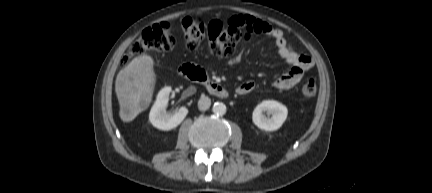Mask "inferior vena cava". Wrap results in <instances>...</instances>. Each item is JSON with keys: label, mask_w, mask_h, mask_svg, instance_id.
Returning <instances> with one entry per match:
<instances>
[{"label": "inferior vena cava", "mask_w": 432, "mask_h": 193, "mask_svg": "<svg viewBox=\"0 0 432 193\" xmlns=\"http://www.w3.org/2000/svg\"><path fill=\"white\" fill-rule=\"evenodd\" d=\"M211 105V99L207 96L202 95L198 101V108L201 111H206Z\"/></svg>", "instance_id": "obj_1"}]
</instances>
